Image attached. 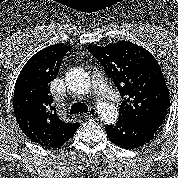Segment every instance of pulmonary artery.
<instances>
[{
  "mask_svg": "<svg viewBox=\"0 0 178 178\" xmlns=\"http://www.w3.org/2000/svg\"><path fill=\"white\" fill-rule=\"evenodd\" d=\"M92 87L94 93L100 98L108 99L112 102H116L119 99V96L106 85L102 76L97 72L92 76Z\"/></svg>",
  "mask_w": 178,
  "mask_h": 178,
  "instance_id": "e3ab8cb5",
  "label": "pulmonary artery"
}]
</instances>
